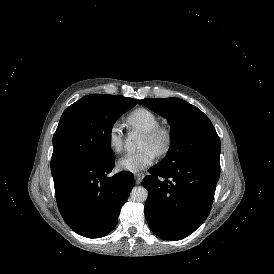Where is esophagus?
Instances as JSON below:
<instances>
[{
  "mask_svg": "<svg viewBox=\"0 0 274 274\" xmlns=\"http://www.w3.org/2000/svg\"><path fill=\"white\" fill-rule=\"evenodd\" d=\"M143 178H144L143 173H137V174L134 175V179H135L136 184H140L142 182Z\"/></svg>",
  "mask_w": 274,
  "mask_h": 274,
  "instance_id": "34e87169",
  "label": "esophagus"
}]
</instances>
